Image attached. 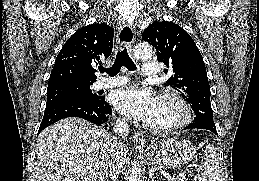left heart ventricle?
Masks as SVG:
<instances>
[{"mask_svg":"<svg viewBox=\"0 0 259 181\" xmlns=\"http://www.w3.org/2000/svg\"><path fill=\"white\" fill-rule=\"evenodd\" d=\"M178 107L168 100H158L157 109L149 121L155 125H165L174 122L179 117Z\"/></svg>","mask_w":259,"mask_h":181,"instance_id":"obj_1","label":"left heart ventricle"}]
</instances>
